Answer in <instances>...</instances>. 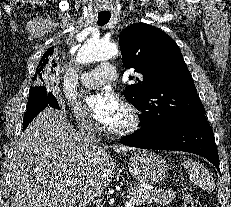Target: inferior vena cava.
<instances>
[{
  "label": "inferior vena cava",
  "instance_id": "1",
  "mask_svg": "<svg viewBox=\"0 0 231 207\" xmlns=\"http://www.w3.org/2000/svg\"><path fill=\"white\" fill-rule=\"evenodd\" d=\"M78 140L84 149H95L98 141L95 136V126L92 120L84 116L79 123Z\"/></svg>",
  "mask_w": 231,
  "mask_h": 207
}]
</instances>
